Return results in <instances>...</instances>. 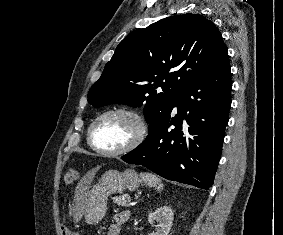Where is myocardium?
<instances>
[{"label": "myocardium", "mask_w": 283, "mask_h": 235, "mask_svg": "<svg viewBox=\"0 0 283 235\" xmlns=\"http://www.w3.org/2000/svg\"><path fill=\"white\" fill-rule=\"evenodd\" d=\"M114 114H122L130 117L136 124V132L133 138L127 143L125 146L118 148L116 150H104L97 147L93 142V134L96 125L105 117ZM147 136V124L143 116L137 111L126 108V107H115L111 109H107L100 113L90 124L87 134V140L89 145L93 150L98 152L99 154L106 156H119L132 152L136 148H138L145 140Z\"/></svg>", "instance_id": "myocardium-1"}]
</instances>
